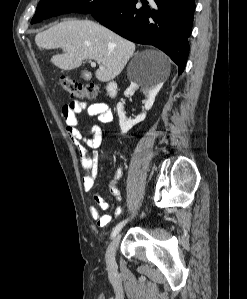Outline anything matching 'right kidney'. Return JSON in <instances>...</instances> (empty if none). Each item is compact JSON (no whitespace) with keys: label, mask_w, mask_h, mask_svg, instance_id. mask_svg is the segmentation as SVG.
<instances>
[{"label":"right kidney","mask_w":247,"mask_h":299,"mask_svg":"<svg viewBox=\"0 0 247 299\" xmlns=\"http://www.w3.org/2000/svg\"><path fill=\"white\" fill-rule=\"evenodd\" d=\"M141 85L138 84L135 81H132L130 86L126 89L124 92L125 96H131L135 93V91L140 87ZM162 87V83L156 84V85H142V91L145 94L146 100L144 101V108L145 111L138 115L135 119L127 118L124 111V105L123 103L119 102L117 104V113L119 116V125L121 128V132L123 134L127 133L134 125L142 122L146 117V111L150 110L153 106V103L155 101V97L158 94Z\"/></svg>","instance_id":"right-kidney-1"}]
</instances>
